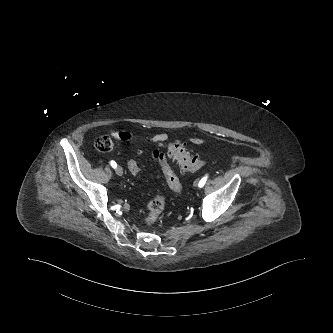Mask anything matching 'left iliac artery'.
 I'll return each instance as SVG.
<instances>
[{
  "label": "left iliac artery",
  "instance_id": "left-iliac-artery-1",
  "mask_svg": "<svg viewBox=\"0 0 333 333\" xmlns=\"http://www.w3.org/2000/svg\"><path fill=\"white\" fill-rule=\"evenodd\" d=\"M207 175L206 176H204L200 181H199V184H198V187L199 188H202L204 185H205V183H206V181H207Z\"/></svg>",
  "mask_w": 333,
  "mask_h": 333
}]
</instances>
